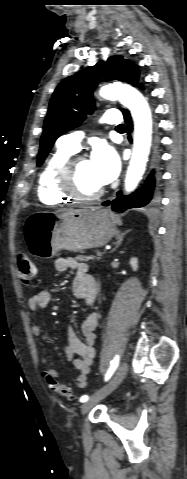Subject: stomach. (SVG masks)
Wrapping results in <instances>:
<instances>
[{"label":"stomach","instance_id":"1","mask_svg":"<svg viewBox=\"0 0 187 479\" xmlns=\"http://www.w3.org/2000/svg\"><path fill=\"white\" fill-rule=\"evenodd\" d=\"M116 233L111 214L100 207L37 211L24 224L29 253L42 259L62 249L76 252L101 247Z\"/></svg>","mask_w":187,"mask_h":479}]
</instances>
